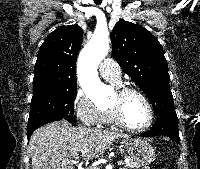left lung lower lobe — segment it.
Returning a JSON list of instances; mask_svg holds the SVG:
<instances>
[{"label": "left lung lower lobe", "instance_id": "1", "mask_svg": "<svg viewBox=\"0 0 200 169\" xmlns=\"http://www.w3.org/2000/svg\"><path fill=\"white\" fill-rule=\"evenodd\" d=\"M167 136L180 143L177 115L162 114L157 117L152 128L140 134L143 137Z\"/></svg>", "mask_w": 200, "mask_h": 169}]
</instances>
